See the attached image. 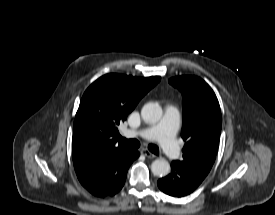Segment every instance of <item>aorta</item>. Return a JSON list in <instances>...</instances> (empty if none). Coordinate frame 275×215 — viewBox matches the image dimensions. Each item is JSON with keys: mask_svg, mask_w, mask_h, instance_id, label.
Here are the masks:
<instances>
[{"mask_svg": "<svg viewBox=\"0 0 275 215\" xmlns=\"http://www.w3.org/2000/svg\"><path fill=\"white\" fill-rule=\"evenodd\" d=\"M163 111L158 103L150 102L143 106L141 116L147 123H156L162 117ZM170 164L165 159H157L151 164V171L155 176L164 177L170 173Z\"/></svg>", "mask_w": 275, "mask_h": 215, "instance_id": "1", "label": "aorta"}]
</instances>
